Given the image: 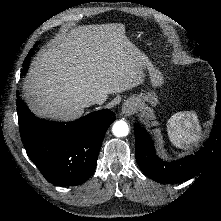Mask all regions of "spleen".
<instances>
[{"instance_id":"1","label":"spleen","mask_w":221,"mask_h":221,"mask_svg":"<svg viewBox=\"0 0 221 221\" xmlns=\"http://www.w3.org/2000/svg\"><path fill=\"white\" fill-rule=\"evenodd\" d=\"M201 127L195 112H179L171 116L167 123V133L173 145L189 149L200 139Z\"/></svg>"}]
</instances>
